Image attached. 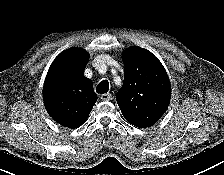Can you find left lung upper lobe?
Instances as JSON below:
<instances>
[{"label":"left lung upper lobe","mask_w":224,"mask_h":175,"mask_svg":"<svg viewBox=\"0 0 224 175\" xmlns=\"http://www.w3.org/2000/svg\"><path fill=\"white\" fill-rule=\"evenodd\" d=\"M124 83L116 100L124 118L144 128L154 125L167 110L171 86L159 60L148 50L130 47L123 53Z\"/></svg>","instance_id":"left-lung-upper-lobe-1"}]
</instances>
